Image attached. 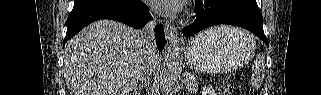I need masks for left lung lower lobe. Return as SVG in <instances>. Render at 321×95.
I'll list each match as a JSON object with an SVG mask.
<instances>
[{
    "label": "left lung lower lobe",
    "mask_w": 321,
    "mask_h": 95,
    "mask_svg": "<svg viewBox=\"0 0 321 95\" xmlns=\"http://www.w3.org/2000/svg\"><path fill=\"white\" fill-rule=\"evenodd\" d=\"M194 13L195 21L183 29L186 37L213 25L229 24L253 32L269 46L256 0H196Z\"/></svg>",
    "instance_id": "obj_1"
}]
</instances>
